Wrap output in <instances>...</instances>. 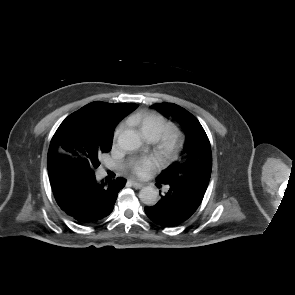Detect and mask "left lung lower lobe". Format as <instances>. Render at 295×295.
Masks as SVG:
<instances>
[{
  "label": "left lung lower lobe",
  "instance_id": "1",
  "mask_svg": "<svg viewBox=\"0 0 295 295\" xmlns=\"http://www.w3.org/2000/svg\"><path fill=\"white\" fill-rule=\"evenodd\" d=\"M157 186H161L160 182ZM168 187V192L165 195L160 193L161 199L154 206L145 207L150 220L163 227L175 226L190 218L205 194L201 189L186 188L175 183H168Z\"/></svg>",
  "mask_w": 295,
  "mask_h": 295
}]
</instances>
